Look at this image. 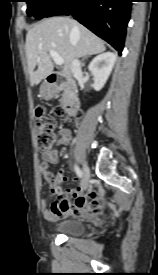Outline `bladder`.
<instances>
[{
  "label": "bladder",
  "instance_id": "1",
  "mask_svg": "<svg viewBox=\"0 0 158 275\" xmlns=\"http://www.w3.org/2000/svg\"><path fill=\"white\" fill-rule=\"evenodd\" d=\"M52 230L59 235L79 237L85 234L86 225L79 219H67L54 224Z\"/></svg>",
  "mask_w": 158,
  "mask_h": 275
}]
</instances>
